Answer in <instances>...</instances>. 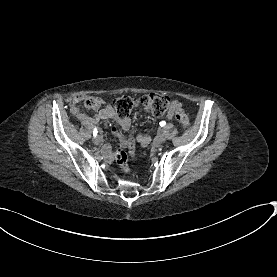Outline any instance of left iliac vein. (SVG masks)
I'll return each instance as SVG.
<instances>
[{"label": "left iliac vein", "mask_w": 277, "mask_h": 277, "mask_svg": "<svg viewBox=\"0 0 277 277\" xmlns=\"http://www.w3.org/2000/svg\"><path fill=\"white\" fill-rule=\"evenodd\" d=\"M165 141H166L165 135H164V134H161V135L159 136V142H160V143H164Z\"/></svg>", "instance_id": "1"}]
</instances>
